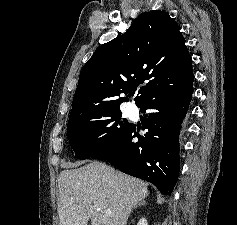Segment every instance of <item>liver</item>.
<instances>
[{"label":"liver","mask_w":237,"mask_h":225,"mask_svg":"<svg viewBox=\"0 0 237 225\" xmlns=\"http://www.w3.org/2000/svg\"><path fill=\"white\" fill-rule=\"evenodd\" d=\"M58 187L60 225H87L89 220L91 225H126L132 208L149 194L145 182L98 161L63 170Z\"/></svg>","instance_id":"liver-1"}]
</instances>
